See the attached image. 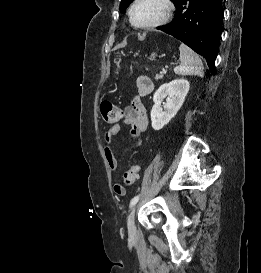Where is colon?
Masks as SVG:
<instances>
[{"label": "colon", "mask_w": 261, "mask_h": 273, "mask_svg": "<svg viewBox=\"0 0 261 273\" xmlns=\"http://www.w3.org/2000/svg\"><path fill=\"white\" fill-rule=\"evenodd\" d=\"M101 114L107 124L114 125L118 123L121 117L120 109L109 101H104L100 105ZM140 168L138 165H132L123 175V180L116 183V189L119 193L125 191V187L132 185L139 177Z\"/></svg>", "instance_id": "obj_1"}]
</instances>
